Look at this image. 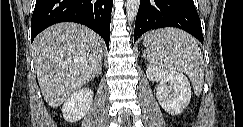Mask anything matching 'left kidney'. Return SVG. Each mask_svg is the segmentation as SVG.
Segmentation results:
<instances>
[{
    "label": "left kidney",
    "mask_w": 243,
    "mask_h": 127,
    "mask_svg": "<svg viewBox=\"0 0 243 127\" xmlns=\"http://www.w3.org/2000/svg\"><path fill=\"white\" fill-rule=\"evenodd\" d=\"M146 74L150 81L159 83L156 88V97L166 112L178 115L188 106L191 99V87L183 73L148 66Z\"/></svg>",
    "instance_id": "obj_1"
}]
</instances>
